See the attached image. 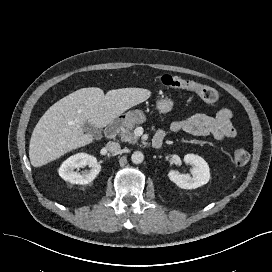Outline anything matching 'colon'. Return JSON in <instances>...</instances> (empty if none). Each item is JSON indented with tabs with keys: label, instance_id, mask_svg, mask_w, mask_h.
Instances as JSON below:
<instances>
[{
	"label": "colon",
	"instance_id": "obj_1",
	"mask_svg": "<svg viewBox=\"0 0 272 272\" xmlns=\"http://www.w3.org/2000/svg\"><path fill=\"white\" fill-rule=\"evenodd\" d=\"M156 81L159 85L170 90H187L194 92L207 103H215L218 100L216 89L194 81L185 80L172 75H161ZM249 158V153L244 149H238L233 154V161L239 167L245 166L248 163Z\"/></svg>",
	"mask_w": 272,
	"mask_h": 272
}]
</instances>
